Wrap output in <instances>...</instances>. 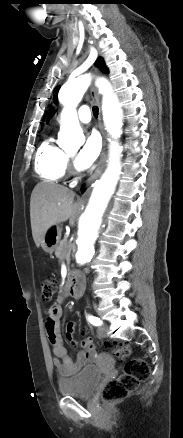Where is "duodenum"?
<instances>
[{
    "mask_svg": "<svg viewBox=\"0 0 183 438\" xmlns=\"http://www.w3.org/2000/svg\"><path fill=\"white\" fill-rule=\"evenodd\" d=\"M67 290L73 298L80 299L82 295L83 284L78 274L71 276L67 285Z\"/></svg>",
    "mask_w": 183,
    "mask_h": 438,
    "instance_id": "1",
    "label": "duodenum"
}]
</instances>
